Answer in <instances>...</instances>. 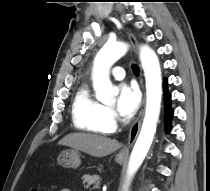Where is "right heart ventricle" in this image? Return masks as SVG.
<instances>
[{
    "label": "right heart ventricle",
    "mask_w": 210,
    "mask_h": 191,
    "mask_svg": "<svg viewBox=\"0 0 210 191\" xmlns=\"http://www.w3.org/2000/svg\"><path fill=\"white\" fill-rule=\"evenodd\" d=\"M72 116L74 125L81 131L108 134L114 130L108 108L92 96L87 85L81 86L75 95Z\"/></svg>",
    "instance_id": "1"
}]
</instances>
